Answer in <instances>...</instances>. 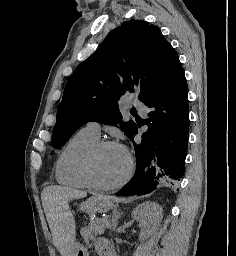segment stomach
Segmentation results:
<instances>
[{
    "instance_id": "0dacf381",
    "label": "stomach",
    "mask_w": 236,
    "mask_h": 256,
    "mask_svg": "<svg viewBox=\"0 0 236 256\" xmlns=\"http://www.w3.org/2000/svg\"><path fill=\"white\" fill-rule=\"evenodd\" d=\"M112 207L113 203L103 196L91 197L80 204V209L88 214L107 212ZM70 256H89V253L86 247L77 242Z\"/></svg>"
}]
</instances>
